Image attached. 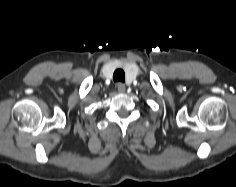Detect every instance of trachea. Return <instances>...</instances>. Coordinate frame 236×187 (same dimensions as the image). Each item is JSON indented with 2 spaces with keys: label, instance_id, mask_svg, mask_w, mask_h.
Instances as JSON below:
<instances>
[{
  "label": "trachea",
  "instance_id": "trachea-1",
  "mask_svg": "<svg viewBox=\"0 0 236 187\" xmlns=\"http://www.w3.org/2000/svg\"><path fill=\"white\" fill-rule=\"evenodd\" d=\"M113 80L115 82H124L125 81V73H124V71L121 70V69L115 70V72L113 73Z\"/></svg>",
  "mask_w": 236,
  "mask_h": 187
}]
</instances>
